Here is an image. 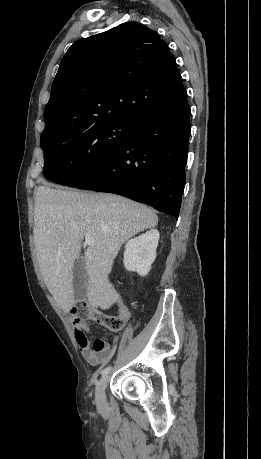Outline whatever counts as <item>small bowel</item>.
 I'll list each match as a JSON object with an SVG mask.
<instances>
[{
	"label": "small bowel",
	"instance_id": "small-bowel-1",
	"mask_svg": "<svg viewBox=\"0 0 261 459\" xmlns=\"http://www.w3.org/2000/svg\"><path fill=\"white\" fill-rule=\"evenodd\" d=\"M116 306L119 313L123 315L125 319H128L130 316L129 310L119 296L116 298ZM72 327L79 349L88 363L94 366L104 365L111 359V345L101 338H97L91 343L88 338L89 328L84 322L74 318L72 320Z\"/></svg>",
	"mask_w": 261,
	"mask_h": 459
}]
</instances>
